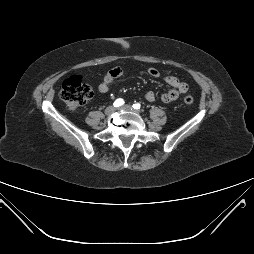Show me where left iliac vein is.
I'll use <instances>...</instances> for the list:
<instances>
[{"label": "left iliac vein", "instance_id": "4c4485c4", "mask_svg": "<svg viewBox=\"0 0 254 254\" xmlns=\"http://www.w3.org/2000/svg\"><path fill=\"white\" fill-rule=\"evenodd\" d=\"M121 109L130 111V110H133V107L131 105H124V106L121 107Z\"/></svg>", "mask_w": 254, "mask_h": 254}]
</instances>
